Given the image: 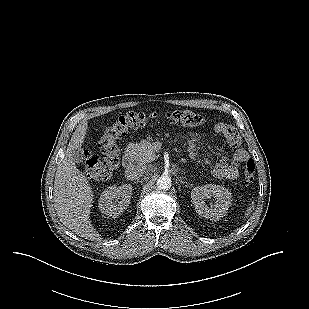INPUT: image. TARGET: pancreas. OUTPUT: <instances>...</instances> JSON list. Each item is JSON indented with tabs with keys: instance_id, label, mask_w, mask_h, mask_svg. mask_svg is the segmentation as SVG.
<instances>
[{
	"instance_id": "pancreas-1",
	"label": "pancreas",
	"mask_w": 309,
	"mask_h": 309,
	"mask_svg": "<svg viewBox=\"0 0 309 309\" xmlns=\"http://www.w3.org/2000/svg\"><path fill=\"white\" fill-rule=\"evenodd\" d=\"M132 151L136 162L141 164H146L154 161L158 157L155 154L152 144L148 141H143L135 144Z\"/></svg>"
}]
</instances>
